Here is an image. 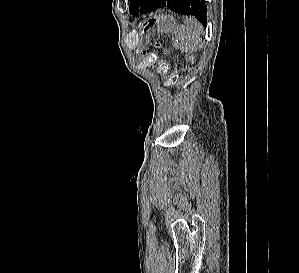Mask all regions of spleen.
Masks as SVG:
<instances>
[{
	"label": "spleen",
	"instance_id": "1",
	"mask_svg": "<svg viewBox=\"0 0 299 273\" xmlns=\"http://www.w3.org/2000/svg\"><path fill=\"white\" fill-rule=\"evenodd\" d=\"M202 25L193 18L186 19L184 25H178L174 29L177 37L174 47L187 52H195L201 45Z\"/></svg>",
	"mask_w": 299,
	"mask_h": 273
}]
</instances>
